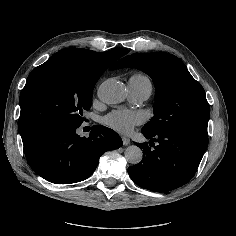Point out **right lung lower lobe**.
I'll return each instance as SVG.
<instances>
[{"label": "right lung lower lobe", "mask_w": 236, "mask_h": 236, "mask_svg": "<svg viewBox=\"0 0 236 236\" xmlns=\"http://www.w3.org/2000/svg\"><path fill=\"white\" fill-rule=\"evenodd\" d=\"M78 127H56L25 144L30 167L49 182L76 183L94 172L104 152L123 144L120 136L110 128L94 125L86 138L77 134Z\"/></svg>", "instance_id": "obj_1"}]
</instances>
